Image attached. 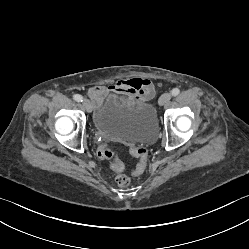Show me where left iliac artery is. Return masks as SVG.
I'll return each instance as SVG.
<instances>
[{
  "label": "left iliac artery",
  "mask_w": 249,
  "mask_h": 249,
  "mask_svg": "<svg viewBox=\"0 0 249 249\" xmlns=\"http://www.w3.org/2000/svg\"><path fill=\"white\" fill-rule=\"evenodd\" d=\"M179 93H180V90H179L178 88H174V89L171 91L172 96H177Z\"/></svg>",
  "instance_id": "44dca946"
}]
</instances>
